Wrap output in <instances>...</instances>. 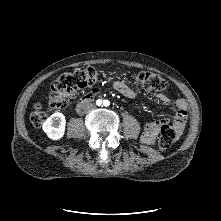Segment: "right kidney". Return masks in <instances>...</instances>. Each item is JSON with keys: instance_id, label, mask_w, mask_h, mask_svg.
Returning <instances> with one entry per match:
<instances>
[{"instance_id": "obj_1", "label": "right kidney", "mask_w": 221, "mask_h": 221, "mask_svg": "<svg viewBox=\"0 0 221 221\" xmlns=\"http://www.w3.org/2000/svg\"><path fill=\"white\" fill-rule=\"evenodd\" d=\"M66 119L62 113L52 114L42 126L43 131L52 140H59L65 132Z\"/></svg>"}]
</instances>
